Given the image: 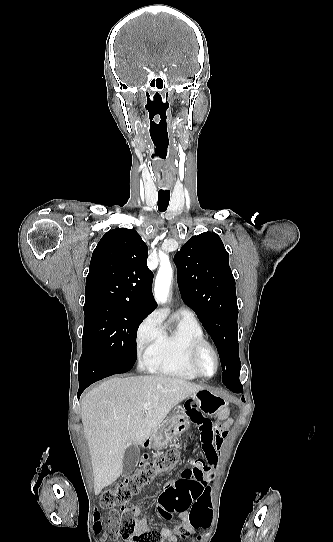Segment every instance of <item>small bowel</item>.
I'll use <instances>...</instances> for the list:
<instances>
[{
    "mask_svg": "<svg viewBox=\"0 0 333 542\" xmlns=\"http://www.w3.org/2000/svg\"><path fill=\"white\" fill-rule=\"evenodd\" d=\"M184 406L186 409H190L186 413V417L197 424L196 429L199 432V438L207 462L209 464L215 463L217 458H220L222 455L220 449L233 420L228 419L220 424L221 418L223 417L221 410H213L208 419H206L197 409H195L197 406L195 402L188 401ZM178 413H181V410H178ZM194 467L199 469V473L197 475H192L190 478L197 482L201 491V484L199 481L202 479L203 473L207 470V463L197 461L195 462ZM202 497L194 503L189 513L186 510L183 512L184 515H182L179 523H174L171 527H161L157 529L148 526L147 518L143 515L140 507L133 506L131 514L135 519L136 531L138 533L156 531L161 536V542H178V537L186 536L193 532L196 527H203L205 530H210L212 528V523L210 522L211 515L208 509V501L203 502Z\"/></svg>",
    "mask_w": 333,
    "mask_h": 542,
    "instance_id": "obj_1",
    "label": "small bowel"
}]
</instances>
